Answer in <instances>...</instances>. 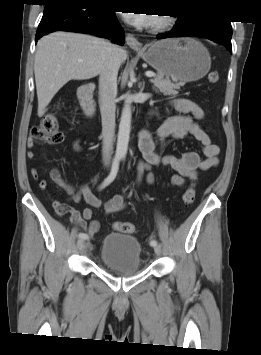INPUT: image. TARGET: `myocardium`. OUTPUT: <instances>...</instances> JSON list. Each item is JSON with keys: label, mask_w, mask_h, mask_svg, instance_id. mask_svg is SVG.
Segmentation results:
<instances>
[{"label": "myocardium", "mask_w": 261, "mask_h": 355, "mask_svg": "<svg viewBox=\"0 0 261 355\" xmlns=\"http://www.w3.org/2000/svg\"><path fill=\"white\" fill-rule=\"evenodd\" d=\"M174 23V18L171 15H161L157 19V22L152 27L154 31H162L171 27Z\"/></svg>", "instance_id": "obj_1"}]
</instances>
